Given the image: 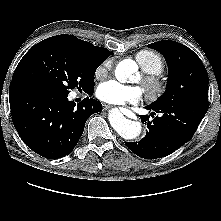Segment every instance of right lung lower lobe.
Wrapping results in <instances>:
<instances>
[{
    "instance_id": "1",
    "label": "right lung lower lobe",
    "mask_w": 221,
    "mask_h": 221,
    "mask_svg": "<svg viewBox=\"0 0 221 221\" xmlns=\"http://www.w3.org/2000/svg\"><path fill=\"white\" fill-rule=\"evenodd\" d=\"M94 88L87 90L92 94ZM9 101L13 124L24 143L46 158H62L78 143L86 120L102 111L99 101L85 98L77 107L67 95L12 80Z\"/></svg>"
}]
</instances>
